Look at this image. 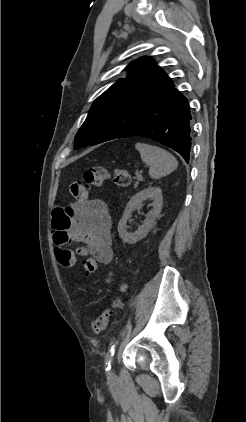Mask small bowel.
<instances>
[{"label":"small bowel","mask_w":246,"mask_h":422,"mask_svg":"<svg viewBox=\"0 0 246 422\" xmlns=\"http://www.w3.org/2000/svg\"><path fill=\"white\" fill-rule=\"evenodd\" d=\"M111 217L107 204L101 199L78 201L66 208H56L52 214L53 241L56 251L77 243L69 249L81 257L109 264L113 259ZM110 272L106 282L110 283Z\"/></svg>","instance_id":"obj_1"}]
</instances>
